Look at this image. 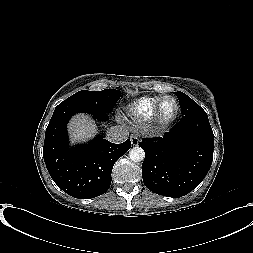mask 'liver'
Wrapping results in <instances>:
<instances>
[{"mask_svg":"<svg viewBox=\"0 0 253 253\" xmlns=\"http://www.w3.org/2000/svg\"><path fill=\"white\" fill-rule=\"evenodd\" d=\"M72 141L84 142L93 138L97 133L95 122L87 115H75L68 126Z\"/></svg>","mask_w":253,"mask_h":253,"instance_id":"6515ba94","label":"liver"}]
</instances>
